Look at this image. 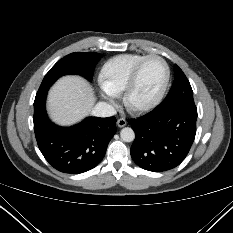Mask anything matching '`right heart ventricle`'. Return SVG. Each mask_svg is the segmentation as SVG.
<instances>
[{"mask_svg":"<svg viewBox=\"0 0 233 233\" xmlns=\"http://www.w3.org/2000/svg\"><path fill=\"white\" fill-rule=\"evenodd\" d=\"M143 57L142 54H121L106 61L98 77L101 88L111 95L121 94L132 70Z\"/></svg>","mask_w":233,"mask_h":233,"instance_id":"1","label":"right heart ventricle"}]
</instances>
